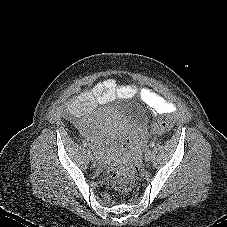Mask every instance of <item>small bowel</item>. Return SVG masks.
Returning a JSON list of instances; mask_svg holds the SVG:
<instances>
[{"label": "small bowel", "mask_w": 227, "mask_h": 227, "mask_svg": "<svg viewBox=\"0 0 227 227\" xmlns=\"http://www.w3.org/2000/svg\"><path fill=\"white\" fill-rule=\"evenodd\" d=\"M114 97L131 98L138 97L146 103L154 115L173 114L176 112V105L172 101L165 100L148 88H137L134 85H119L113 78H107L94 84L89 89L82 90L67 105L65 110L70 113H85L97 102L109 100ZM85 127V120L79 122ZM91 148L97 153H115L118 149V142L110 137L91 136L89 137Z\"/></svg>", "instance_id": "small-bowel-1"}]
</instances>
